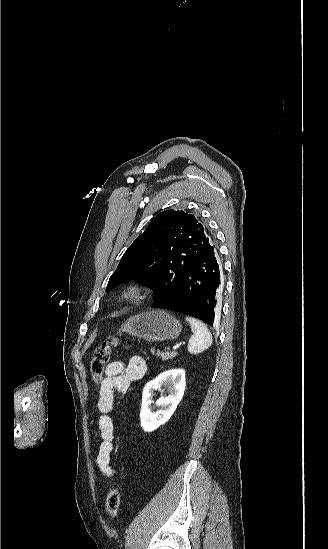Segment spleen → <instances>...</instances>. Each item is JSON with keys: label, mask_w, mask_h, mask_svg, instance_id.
<instances>
[{"label": "spleen", "mask_w": 328, "mask_h": 549, "mask_svg": "<svg viewBox=\"0 0 328 549\" xmlns=\"http://www.w3.org/2000/svg\"><path fill=\"white\" fill-rule=\"evenodd\" d=\"M185 321L189 323L193 335L189 339L188 351L191 355H198V353H203L206 349H209L213 343V337L206 325L194 317H185Z\"/></svg>", "instance_id": "obj_1"}]
</instances>
